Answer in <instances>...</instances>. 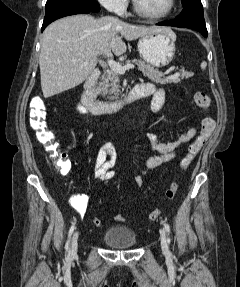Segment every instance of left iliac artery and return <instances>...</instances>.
Returning <instances> with one entry per match:
<instances>
[{"label":"left iliac artery","instance_id":"1","mask_svg":"<svg viewBox=\"0 0 240 287\" xmlns=\"http://www.w3.org/2000/svg\"><path fill=\"white\" fill-rule=\"evenodd\" d=\"M164 227H165L166 232L169 235V233H170V226H169V224H165ZM167 241L170 242V238L169 237L167 238Z\"/></svg>","mask_w":240,"mask_h":287}]
</instances>
